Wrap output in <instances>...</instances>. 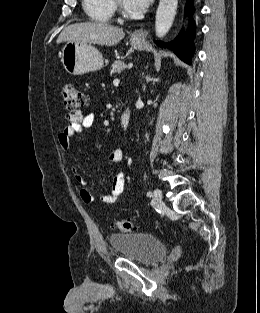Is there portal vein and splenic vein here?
<instances>
[{
    "instance_id": "1",
    "label": "portal vein and splenic vein",
    "mask_w": 260,
    "mask_h": 313,
    "mask_svg": "<svg viewBox=\"0 0 260 313\" xmlns=\"http://www.w3.org/2000/svg\"><path fill=\"white\" fill-rule=\"evenodd\" d=\"M119 82H120L119 79H115V80L113 81V84H114V85H117V84H119Z\"/></svg>"
}]
</instances>
